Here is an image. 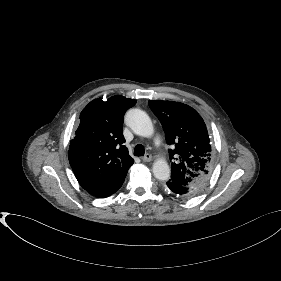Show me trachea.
Returning a JSON list of instances; mask_svg holds the SVG:
<instances>
[{
  "instance_id": "trachea-1",
  "label": "trachea",
  "mask_w": 281,
  "mask_h": 281,
  "mask_svg": "<svg viewBox=\"0 0 281 281\" xmlns=\"http://www.w3.org/2000/svg\"><path fill=\"white\" fill-rule=\"evenodd\" d=\"M144 153H145V148H144L143 145L138 144V145L135 146V148H134V155L135 156H143Z\"/></svg>"
}]
</instances>
